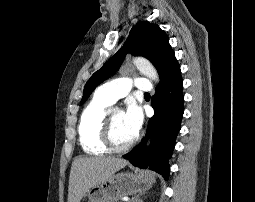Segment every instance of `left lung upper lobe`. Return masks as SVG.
Masks as SVG:
<instances>
[{"label": "left lung upper lobe", "mask_w": 255, "mask_h": 202, "mask_svg": "<svg viewBox=\"0 0 255 202\" xmlns=\"http://www.w3.org/2000/svg\"><path fill=\"white\" fill-rule=\"evenodd\" d=\"M127 53L134 56H143L150 60L159 73L160 84L157 88L164 87L176 75L181 73L166 33L156 24L141 21L131 29L123 48L87 81L81 104L88 99L96 86L115 74Z\"/></svg>", "instance_id": "left-lung-upper-lobe-1"}]
</instances>
